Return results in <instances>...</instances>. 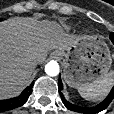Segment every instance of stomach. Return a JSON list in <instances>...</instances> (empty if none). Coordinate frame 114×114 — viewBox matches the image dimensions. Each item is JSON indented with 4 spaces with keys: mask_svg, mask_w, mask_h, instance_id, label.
<instances>
[{
    "mask_svg": "<svg viewBox=\"0 0 114 114\" xmlns=\"http://www.w3.org/2000/svg\"><path fill=\"white\" fill-rule=\"evenodd\" d=\"M52 55L62 60L64 79L73 88L105 77L112 66L109 47L97 37H81L69 48L56 49Z\"/></svg>",
    "mask_w": 114,
    "mask_h": 114,
    "instance_id": "stomach-1",
    "label": "stomach"
}]
</instances>
